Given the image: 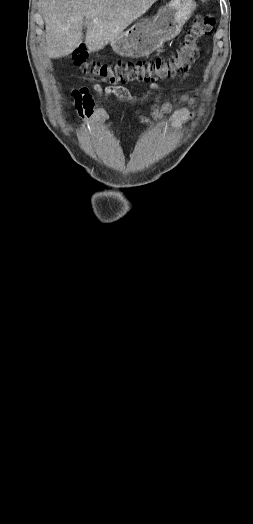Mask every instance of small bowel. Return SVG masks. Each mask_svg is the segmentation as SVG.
<instances>
[{
    "instance_id": "small-bowel-1",
    "label": "small bowel",
    "mask_w": 253,
    "mask_h": 524,
    "mask_svg": "<svg viewBox=\"0 0 253 524\" xmlns=\"http://www.w3.org/2000/svg\"><path fill=\"white\" fill-rule=\"evenodd\" d=\"M156 89H158V85L152 84L150 89L145 94H143L141 98L148 97ZM98 90L100 94L102 95H114L115 97L121 100H130L133 98L131 93L127 89L121 86H112L109 89H104V90L99 88ZM70 95L71 97L76 98L77 105L81 104V102H84V101H91L89 95L87 94L86 88H81L79 91L76 89H73L71 90ZM162 108L166 110L169 108V106L167 104H164ZM135 113L138 115L137 111H135ZM159 114H160V108L156 107L152 113L153 118H157ZM185 115H186V112L184 109L177 110L172 118L173 125L175 127H179L181 120L185 117ZM88 116H89L88 119H89L90 125L98 124L102 122V123H106L108 126H115L114 122H108L107 112L102 107H100L98 104L92 105V111L90 115ZM138 118L142 122L149 123V124L151 123L150 120L145 119L139 115H138ZM166 127H167L166 124L163 123V128L166 129ZM86 128L87 126H83L82 129L85 130Z\"/></svg>"
}]
</instances>
